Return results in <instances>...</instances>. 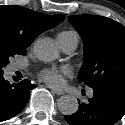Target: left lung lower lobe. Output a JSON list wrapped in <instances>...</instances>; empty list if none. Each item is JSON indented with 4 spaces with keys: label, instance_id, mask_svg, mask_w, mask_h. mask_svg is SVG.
<instances>
[{
    "label": "left lung lower lobe",
    "instance_id": "left-lung-lower-lobe-1",
    "mask_svg": "<svg viewBox=\"0 0 125 125\" xmlns=\"http://www.w3.org/2000/svg\"><path fill=\"white\" fill-rule=\"evenodd\" d=\"M93 91L76 113L64 116L70 125H114L125 115V85H99Z\"/></svg>",
    "mask_w": 125,
    "mask_h": 125
}]
</instances>
